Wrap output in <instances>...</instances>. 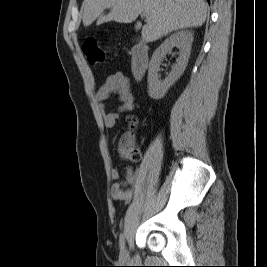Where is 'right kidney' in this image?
<instances>
[{
    "label": "right kidney",
    "mask_w": 267,
    "mask_h": 267,
    "mask_svg": "<svg viewBox=\"0 0 267 267\" xmlns=\"http://www.w3.org/2000/svg\"><path fill=\"white\" fill-rule=\"evenodd\" d=\"M193 34L190 31H178L167 38L153 53L148 70V94L152 99L159 100L183 74L190 56ZM173 47L179 48V57L169 75L159 78L160 65L166 54Z\"/></svg>",
    "instance_id": "1"
}]
</instances>
